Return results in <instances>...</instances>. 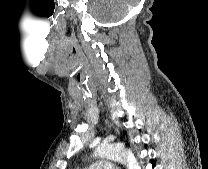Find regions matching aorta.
<instances>
[{
  "label": "aorta",
  "mask_w": 208,
  "mask_h": 169,
  "mask_svg": "<svg viewBox=\"0 0 208 169\" xmlns=\"http://www.w3.org/2000/svg\"><path fill=\"white\" fill-rule=\"evenodd\" d=\"M94 156L98 158L121 161L127 165L128 169H140L134 155L118 144H101L95 149Z\"/></svg>",
  "instance_id": "aorta-1"
}]
</instances>
